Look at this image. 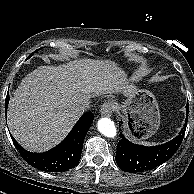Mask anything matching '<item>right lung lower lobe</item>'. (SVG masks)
I'll return each instance as SVG.
<instances>
[{"instance_id":"obj_1","label":"right lung lower lobe","mask_w":194,"mask_h":194,"mask_svg":"<svg viewBox=\"0 0 194 194\" xmlns=\"http://www.w3.org/2000/svg\"><path fill=\"white\" fill-rule=\"evenodd\" d=\"M8 103L9 94L5 101L6 112ZM93 120L91 112L83 114L69 135L59 145L44 153H31L22 148L13 137L11 138L22 158L31 166L46 172L66 171L79 163L83 141Z\"/></svg>"}]
</instances>
